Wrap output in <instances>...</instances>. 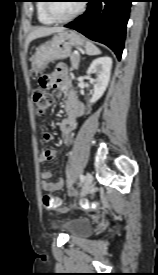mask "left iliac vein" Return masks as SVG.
<instances>
[{
	"label": "left iliac vein",
	"mask_w": 158,
	"mask_h": 275,
	"mask_svg": "<svg viewBox=\"0 0 158 275\" xmlns=\"http://www.w3.org/2000/svg\"><path fill=\"white\" fill-rule=\"evenodd\" d=\"M92 182H93V177L91 173L89 172L86 173L85 179H84L83 191H82L83 196H86L91 191Z\"/></svg>",
	"instance_id": "1"
}]
</instances>
